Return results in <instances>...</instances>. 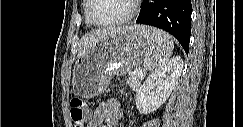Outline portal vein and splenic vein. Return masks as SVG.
<instances>
[{"label":"portal vein and splenic vein","mask_w":243,"mask_h":127,"mask_svg":"<svg viewBox=\"0 0 243 127\" xmlns=\"http://www.w3.org/2000/svg\"><path fill=\"white\" fill-rule=\"evenodd\" d=\"M134 73L137 74V75H142L143 74V71L135 70Z\"/></svg>","instance_id":"18ae733b"}]
</instances>
